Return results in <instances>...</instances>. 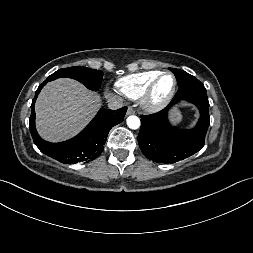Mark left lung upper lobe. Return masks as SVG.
Listing matches in <instances>:
<instances>
[{
	"mask_svg": "<svg viewBox=\"0 0 253 253\" xmlns=\"http://www.w3.org/2000/svg\"><path fill=\"white\" fill-rule=\"evenodd\" d=\"M171 71L174 73L179 87L184 86V85H188V84H190V82H192L193 80L196 79L194 76L188 74L185 71L179 70V69L171 68Z\"/></svg>",
	"mask_w": 253,
	"mask_h": 253,
	"instance_id": "1",
	"label": "left lung upper lobe"
}]
</instances>
